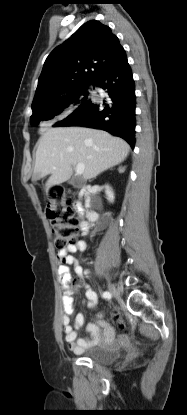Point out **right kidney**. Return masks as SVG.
I'll return each mask as SVG.
<instances>
[{
    "instance_id": "right-kidney-1",
    "label": "right kidney",
    "mask_w": 187,
    "mask_h": 415,
    "mask_svg": "<svg viewBox=\"0 0 187 415\" xmlns=\"http://www.w3.org/2000/svg\"><path fill=\"white\" fill-rule=\"evenodd\" d=\"M103 188H105V194L107 196V200L109 202H113L114 201V193H113L111 187L108 186V185H105Z\"/></svg>"
}]
</instances>
